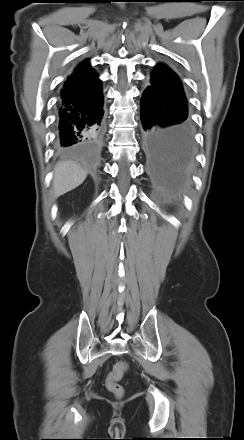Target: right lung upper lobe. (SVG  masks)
<instances>
[{"mask_svg":"<svg viewBox=\"0 0 244 440\" xmlns=\"http://www.w3.org/2000/svg\"><path fill=\"white\" fill-rule=\"evenodd\" d=\"M102 93L101 81L97 73L85 60L67 78L61 91L63 104H71L90 99Z\"/></svg>","mask_w":244,"mask_h":440,"instance_id":"right-lung-upper-lobe-1","label":"right lung upper lobe"}]
</instances>
